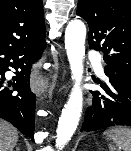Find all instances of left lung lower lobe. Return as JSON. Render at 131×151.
I'll use <instances>...</instances> for the list:
<instances>
[{
	"label": "left lung lower lobe",
	"mask_w": 131,
	"mask_h": 151,
	"mask_svg": "<svg viewBox=\"0 0 131 151\" xmlns=\"http://www.w3.org/2000/svg\"><path fill=\"white\" fill-rule=\"evenodd\" d=\"M106 82H100L104 93L90 91L92 106L86 110L81 131L90 132L111 126H131V77L104 68Z\"/></svg>",
	"instance_id": "1"
}]
</instances>
